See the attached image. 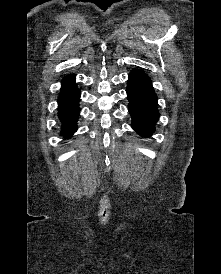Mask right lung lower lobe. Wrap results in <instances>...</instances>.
<instances>
[{"label":"right lung lower lobe","instance_id":"1","mask_svg":"<svg viewBox=\"0 0 221 274\" xmlns=\"http://www.w3.org/2000/svg\"><path fill=\"white\" fill-rule=\"evenodd\" d=\"M80 91L75 84V76L68 75L62 81L58 98V117L61 121V135L69 138L77 130Z\"/></svg>","mask_w":221,"mask_h":274}]
</instances>
